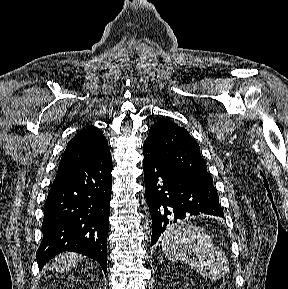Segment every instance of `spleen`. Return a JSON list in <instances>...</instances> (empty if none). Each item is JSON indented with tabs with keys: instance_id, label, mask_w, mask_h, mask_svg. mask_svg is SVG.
Returning <instances> with one entry per match:
<instances>
[{
	"instance_id": "obj_1",
	"label": "spleen",
	"mask_w": 288,
	"mask_h": 289,
	"mask_svg": "<svg viewBox=\"0 0 288 289\" xmlns=\"http://www.w3.org/2000/svg\"><path fill=\"white\" fill-rule=\"evenodd\" d=\"M161 247L165 256L172 261H184L204 278L218 280L229 270L225 254L216 246L204 230L193 226L188 220L171 225L162 234ZM191 251L197 260L186 255Z\"/></svg>"
}]
</instances>
